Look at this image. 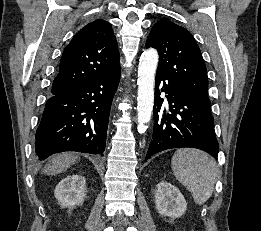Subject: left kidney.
Returning <instances> with one entry per match:
<instances>
[{
  "mask_svg": "<svg viewBox=\"0 0 261 231\" xmlns=\"http://www.w3.org/2000/svg\"><path fill=\"white\" fill-rule=\"evenodd\" d=\"M155 204L160 215L171 218L182 216L187 209L186 200L180 190L164 181L157 184Z\"/></svg>",
  "mask_w": 261,
  "mask_h": 231,
  "instance_id": "5707ae66",
  "label": "left kidney"
}]
</instances>
